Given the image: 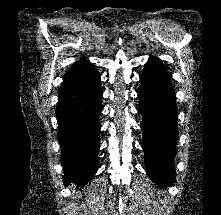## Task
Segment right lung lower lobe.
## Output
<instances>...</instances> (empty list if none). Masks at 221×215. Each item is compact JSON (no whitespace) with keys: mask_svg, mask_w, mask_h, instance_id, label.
Instances as JSON below:
<instances>
[{"mask_svg":"<svg viewBox=\"0 0 221 215\" xmlns=\"http://www.w3.org/2000/svg\"><path fill=\"white\" fill-rule=\"evenodd\" d=\"M96 69L64 80L56 109L64 184L84 186L96 173L102 90Z\"/></svg>","mask_w":221,"mask_h":215,"instance_id":"98d812e1","label":"right lung lower lobe"}]
</instances>
